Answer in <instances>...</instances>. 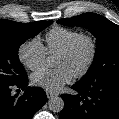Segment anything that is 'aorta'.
<instances>
[{"label":"aorta","mask_w":119,"mask_h":119,"mask_svg":"<svg viewBox=\"0 0 119 119\" xmlns=\"http://www.w3.org/2000/svg\"><path fill=\"white\" fill-rule=\"evenodd\" d=\"M47 64L50 66L51 62L49 59H47ZM49 109L53 112H61L64 108V101L61 97L54 96L51 97L48 101Z\"/></svg>","instance_id":"obj_1"}]
</instances>
